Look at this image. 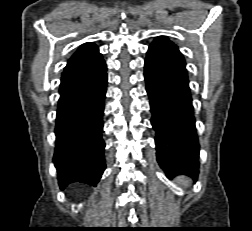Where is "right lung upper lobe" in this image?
Here are the masks:
<instances>
[{
	"label": "right lung upper lobe",
	"mask_w": 252,
	"mask_h": 231,
	"mask_svg": "<svg viewBox=\"0 0 252 231\" xmlns=\"http://www.w3.org/2000/svg\"><path fill=\"white\" fill-rule=\"evenodd\" d=\"M106 71V63L98 47L91 42L82 44L68 63L61 76L59 93L81 86Z\"/></svg>",
	"instance_id": "right-lung-upper-lobe-1"
}]
</instances>
